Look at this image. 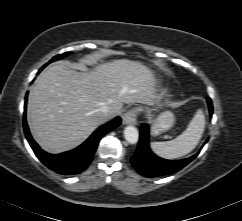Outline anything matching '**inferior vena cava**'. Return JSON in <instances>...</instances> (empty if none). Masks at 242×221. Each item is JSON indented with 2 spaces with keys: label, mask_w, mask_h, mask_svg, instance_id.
<instances>
[{
  "label": "inferior vena cava",
  "mask_w": 242,
  "mask_h": 221,
  "mask_svg": "<svg viewBox=\"0 0 242 221\" xmlns=\"http://www.w3.org/2000/svg\"><path fill=\"white\" fill-rule=\"evenodd\" d=\"M99 111L106 117L108 118L109 116H111L114 111L111 110V108L109 106H103L99 109Z\"/></svg>",
  "instance_id": "602c4592"
}]
</instances>
